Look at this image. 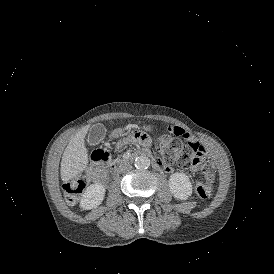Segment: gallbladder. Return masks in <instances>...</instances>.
<instances>
[{
  "label": "gallbladder",
  "mask_w": 274,
  "mask_h": 274,
  "mask_svg": "<svg viewBox=\"0 0 274 274\" xmlns=\"http://www.w3.org/2000/svg\"><path fill=\"white\" fill-rule=\"evenodd\" d=\"M106 135V128L103 124L97 123L91 126L88 133V142L98 144Z\"/></svg>",
  "instance_id": "1"
}]
</instances>
